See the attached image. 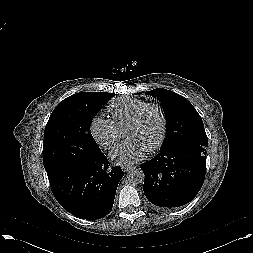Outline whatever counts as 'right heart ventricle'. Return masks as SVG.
<instances>
[{"label":"right heart ventricle","mask_w":253,"mask_h":253,"mask_svg":"<svg viewBox=\"0 0 253 253\" xmlns=\"http://www.w3.org/2000/svg\"><path fill=\"white\" fill-rule=\"evenodd\" d=\"M147 102L133 97H119L108 107L109 114L115 126L122 130L126 127L133 115Z\"/></svg>","instance_id":"right-heart-ventricle-1"}]
</instances>
